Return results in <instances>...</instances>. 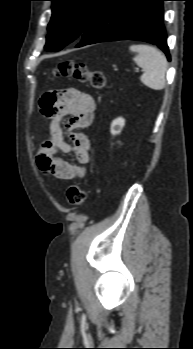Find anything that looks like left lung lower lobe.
Here are the masks:
<instances>
[{
	"label": "left lung lower lobe",
	"instance_id": "obj_1",
	"mask_svg": "<svg viewBox=\"0 0 193 349\" xmlns=\"http://www.w3.org/2000/svg\"><path fill=\"white\" fill-rule=\"evenodd\" d=\"M163 1L108 0L76 47L105 41L141 40L160 47L170 60L162 22Z\"/></svg>",
	"mask_w": 193,
	"mask_h": 349
}]
</instances>
